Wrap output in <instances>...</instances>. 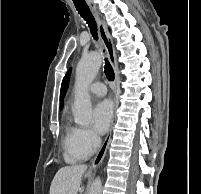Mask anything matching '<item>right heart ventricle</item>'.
Returning <instances> with one entry per match:
<instances>
[{
    "instance_id": "1",
    "label": "right heart ventricle",
    "mask_w": 201,
    "mask_h": 194,
    "mask_svg": "<svg viewBox=\"0 0 201 194\" xmlns=\"http://www.w3.org/2000/svg\"><path fill=\"white\" fill-rule=\"evenodd\" d=\"M73 130H74L73 127L67 126L65 138H64V145H65V149H66V158L69 162H72V163L84 160L88 157V155H84L74 149L73 143H72Z\"/></svg>"
}]
</instances>
